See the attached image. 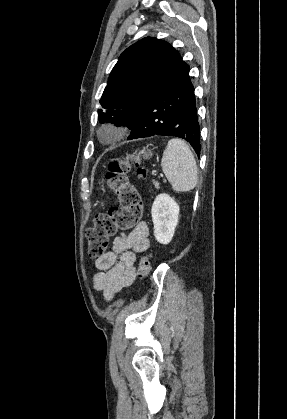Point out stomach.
<instances>
[{"label": "stomach", "mask_w": 287, "mask_h": 419, "mask_svg": "<svg viewBox=\"0 0 287 419\" xmlns=\"http://www.w3.org/2000/svg\"><path fill=\"white\" fill-rule=\"evenodd\" d=\"M140 155H142L144 159H149L152 156V152L150 150L143 149L138 153V155L137 153L127 155L125 158V163L138 160Z\"/></svg>", "instance_id": "0dacf381"}]
</instances>
